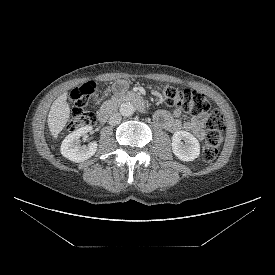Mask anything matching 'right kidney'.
<instances>
[{
    "instance_id": "right-kidney-1",
    "label": "right kidney",
    "mask_w": 275,
    "mask_h": 275,
    "mask_svg": "<svg viewBox=\"0 0 275 275\" xmlns=\"http://www.w3.org/2000/svg\"><path fill=\"white\" fill-rule=\"evenodd\" d=\"M91 126L79 128L65 137L61 144V154L67 159L79 163L92 157L97 150V143H90L88 146H80L79 138L90 132Z\"/></svg>"
}]
</instances>
